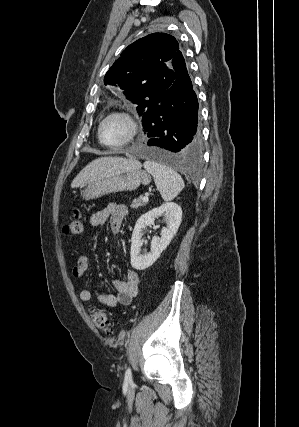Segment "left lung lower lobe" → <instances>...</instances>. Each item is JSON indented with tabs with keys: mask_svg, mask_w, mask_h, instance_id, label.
<instances>
[{
	"mask_svg": "<svg viewBox=\"0 0 299 427\" xmlns=\"http://www.w3.org/2000/svg\"><path fill=\"white\" fill-rule=\"evenodd\" d=\"M172 64L176 73L174 82L141 117L150 138L147 154L159 161L180 164L199 155L201 134L197 96L179 49Z\"/></svg>",
	"mask_w": 299,
	"mask_h": 427,
	"instance_id": "1",
	"label": "left lung lower lobe"
}]
</instances>
